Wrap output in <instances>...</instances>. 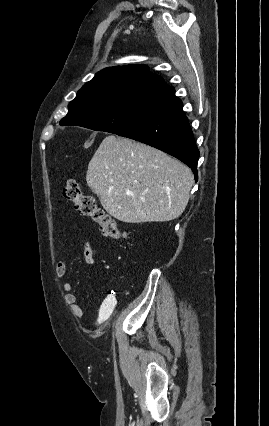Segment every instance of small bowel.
Returning <instances> with one entry per match:
<instances>
[{
  "mask_svg": "<svg viewBox=\"0 0 269 426\" xmlns=\"http://www.w3.org/2000/svg\"><path fill=\"white\" fill-rule=\"evenodd\" d=\"M84 258L87 265H93L97 258V250L95 245L91 241L84 242ZM66 263L63 260L58 261L56 265V276L61 280L60 289L65 293L64 300L66 304L71 308L72 312L76 316H82L84 309L78 304L77 297L71 292V284L68 280L63 279L66 274Z\"/></svg>",
  "mask_w": 269,
  "mask_h": 426,
  "instance_id": "1",
  "label": "small bowel"
}]
</instances>
